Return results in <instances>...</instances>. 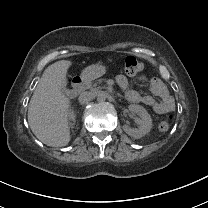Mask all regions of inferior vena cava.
<instances>
[{
	"label": "inferior vena cava",
	"mask_w": 208,
	"mask_h": 208,
	"mask_svg": "<svg viewBox=\"0 0 208 208\" xmlns=\"http://www.w3.org/2000/svg\"><path fill=\"white\" fill-rule=\"evenodd\" d=\"M94 98V95L91 92L81 93L78 100L80 104H87Z\"/></svg>",
	"instance_id": "1"
}]
</instances>
